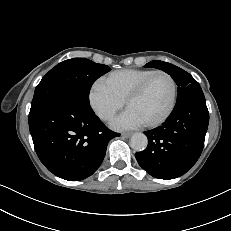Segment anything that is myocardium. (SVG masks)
Returning a JSON list of instances; mask_svg holds the SVG:
<instances>
[{
    "label": "myocardium",
    "instance_id": "myocardium-1",
    "mask_svg": "<svg viewBox=\"0 0 231 231\" xmlns=\"http://www.w3.org/2000/svg\"><path fill=\"white\" fill-rule=\"evenodd\" d=\"M158 74H162V75L168 77L169 80L171 81V83H172V99H171V103H170L167 111L160 118L144 124L146 127H150V128L158 127V126L162 125L164 122H166L168 120V118L172 115V113L176 107L177 99H178V84H177V81L174 78V76L172 74H170L169 72L164 71V70H154L148 76H146L130 92V94L125 99V106L127 107L130 102H132L133 100L138 98L143 93L144 89L146 88V86L150 82V80Z\"/></svg>",
    "mask_w": 231,
    "mask_h": 231
}]
</instances>
